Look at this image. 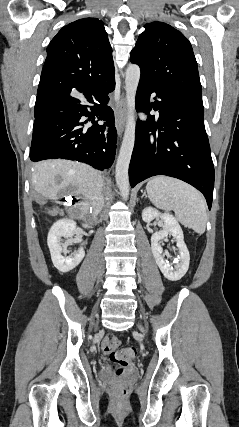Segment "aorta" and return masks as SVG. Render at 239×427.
Returning <instances> with one entry per match:
<instances>
[{
  "instance_id": "1",
  "label": "aorta",
  "mask_w": 239,
  "mask_h": 427,
  "mask_svg": "<svg viewBox=\"0 0 239 427\" xmlns=\"http://www.w3.org/2000/svg\"><path fill=\"white\" fill-rule=\"evenodd\" d=\"M140 80V68L136 64H130L126 70L125 90L128 107V115L125 133L116 163V183L121 197L126 200L129 196L128 168L135 143V97Z\"/></svg>"
}]
</instances>
